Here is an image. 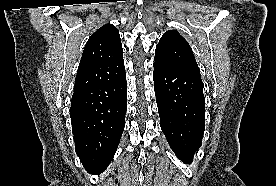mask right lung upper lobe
Instances as JSON below:
<instances>
[{"mask_svg":"<svg viewBox=\"0 0 276 186\" xmlns=\"http://www.w3.org/2000/svg\"><path fill=\"white\" fill-rule=\"evenodd\" d=\"M125 74L119 31L105 24L91 35L78 67L74 89L110 83Z\"/></svg>","mask_w":276,"mask_h":186,"instance_id":"1","label":"right lung upper lobe"}]
</instances>
